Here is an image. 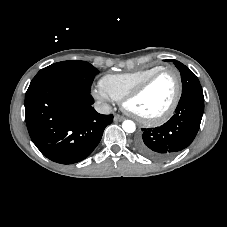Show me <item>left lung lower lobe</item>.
<instances>
[{"instance_id":"0a47b994","label":"left lung lower lobe","mask_w":227,"mask_h":227,"mask_svg":"<svg viewBox=\"0 0 227 227\" xmlns=\"http://www.w3.org/2000/svg\"><path fill=\"white\" fill-rule=\"evenodd\" d=\"M203 100V93L182 95L168 122L156 128L142 129L135 141L137 151L153 160H165L189 146L200 127Z\"/></svg>"}]
</instances>
